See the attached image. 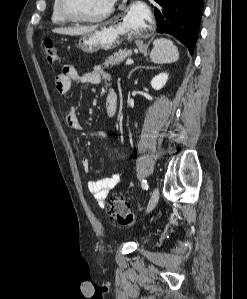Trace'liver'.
I'll use <instances>...</instances> for the list:
<instances>
[{
    "mask_svg": "<svg viewBox=\"0 0 247 299\" xmlns=\"http://www.w3.org/2000/svg\"><path fill=\"white\" fill-rule=\"evenodd\" d=\"M98 26H77V27H61L55 28L52 31L57 34L78 36L93 32Z\"/></svg>",
    "mask_w": 247,
    "mask_h": 299,
    "instance_id": "obj_1",
    "label": "liver"
}]
</instances>
